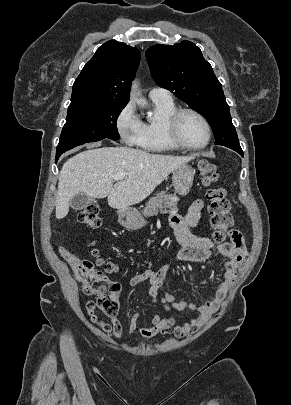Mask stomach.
Instances as JSON below:
<instances>
[{"instance_id": "obj_1", "label": "stomach", "mask_w": 291, "mask_h": 405, "mask_svg": "<svg viewBox=\"0 0 291 405\" xmlns=\"http://www.w3.org/2000/svg\"><path fill=\"white\" fill-rule=\"evenodd\" d=\"M194 174L195 170L187 164H183L173 171L172 184L176 194L185 196L189 193ZM118 221L123 227L131 230L140 229L146 225V221L141 214L131 208L119 210Z\"/></svg>"}]
</instances>
